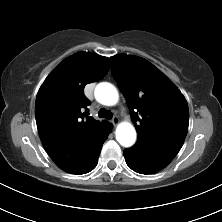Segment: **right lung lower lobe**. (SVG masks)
Segmentation results:
<instances>
[{"instance_id": "98d812e1", "label": "right lung lower lobe", "mask_w": 222, "mask_h": 222, "mask_svg": "<svg viewBox=\"0 0 222 222\" xmlns=\"http://www.w3.org/2000/svg\"><path fill=\"white\" fill-rule=\"evenodd\" d=\"M111 129L112 128L107 130L95 143H93L91 147L92 152L86 156V158H82L77 162L74 160L71 163H66L63 166H60V168L71 174H85L93 170L97 165L102 145L111 132Z\"/></svg>"}]
</instances>
